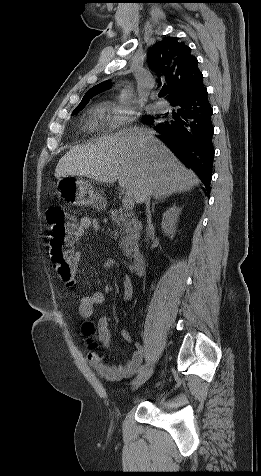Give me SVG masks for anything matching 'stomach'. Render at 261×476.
Segmentation results:
<instances>
[{"label": "stomach", "instance_id": "obj_1", "mask_svg": "<svg viewBox=\"0 0 261 476\" xmlns=\"http://www.w3.org/2000/svg\"><path fill=\"white\" fill-rule=\"evenodd\" d=\"M58 187L63 198L73 205H92L97 208L105 207V198L95 190L91 183L78 176H65L59 179Z\"/></svg>", "mask_w": 261, "mask_h": 476}]
</instances>
